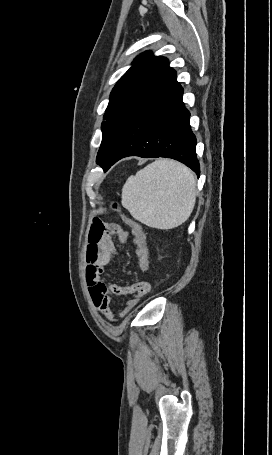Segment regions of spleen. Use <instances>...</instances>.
I'll return each instance as SVG.
<instances>
[{
    "label": "spleen",
    "instance_id": "spleen-1",
    "mask_svg": "<svg viewBox=\"0 0 272 455\" xmlns=\"http://www.w3.org/2000/svg\"><path fill=\"white\" fill-rule=\"evenodd\" d=\"M196 180L185 165L158 159L130 176L121 203L136 220L149 227L171 229L183 224L196 202Z\"/></svg>",
    "mask_w": 272,
    "mask_h": 455
}]
</instances>
